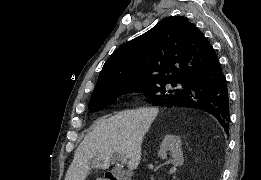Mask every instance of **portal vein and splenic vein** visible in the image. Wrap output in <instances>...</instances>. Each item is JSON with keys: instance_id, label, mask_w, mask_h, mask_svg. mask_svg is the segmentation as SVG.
Wrapping results in <instances>:
<instances>
[{"instance_id": "obj_1", "label": "portal vein and splenic vein", "mask_w": 261, "mask_h": 180, "mask_svg": "<svg viewBox=\"0 0 261 180\" xmlns=\"http://www.w3.org/2000/svg\"><path fill=\"white\" fill-rule=\"evenodd\" d=\"M121 162H127V156H122Z\"/></svg>"}]
</instances>
